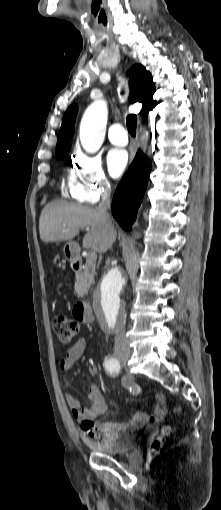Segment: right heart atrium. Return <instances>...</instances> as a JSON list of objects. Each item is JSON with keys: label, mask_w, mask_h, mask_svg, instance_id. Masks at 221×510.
<instances>
[{"label": "right heart atrium", "mask_w": 221, "mask_h": 510, "mask_svg": "<svg viewBox=\"0 0 221 510\" xmlns=\"http://www.w3.org/2000/svg\"><path fill=\"white\" fill-rule=\"evenodd\" d=\"M71 196L80 203L94 204L111 191V182L99 156L77 153L68 174Z\"/></svg>", "instance_id": "d8ad5b80"}]
</instances>
